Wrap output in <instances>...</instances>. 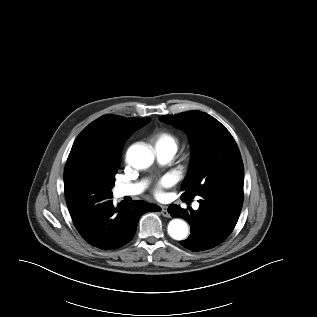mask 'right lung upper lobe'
<instances>
[{
    "label": "right lung upper lobe",
    "mask_w": 317,
    "mask_h": 317,
    "mask_svg": "<svg viewBox=\"0 0 317 317\" xmlns=\"http://www.w3.org/2000/svg\"><path fill=\"white\" fill-rule=\"evenodd\" d=\"M145 119H126L110 114L98 118L78 135L73 143L68 160L84 152L96 156H110L120 160L121 151L126 140L133 132L144 126Z\"/></svg>",
    "instance_id": "1"
}]
</instances>
